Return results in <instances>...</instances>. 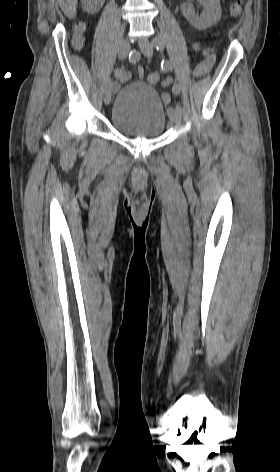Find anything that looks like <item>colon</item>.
<instances>
[{
	"mask_svg": "<svg viewBox=\"0 0 280 472\" xmlns=\"http://www.w3.org/2000/svg\"><path fill=\"white\" fill-rule=\"evenodd\" d=\"M241 9H242V0H235L233 2V4L231 5V14L234 16V17H237L240 15L241 13ZM160 79V76L158 73L154 72V73H150L148 76H147V81L151 84H155L156 82H158Z\"/></svg>",
	"mask_w": 280,
	"mask_h": 472,
	"instance_id": "colon-1",
	"label": "colon"
}]
</instances>
